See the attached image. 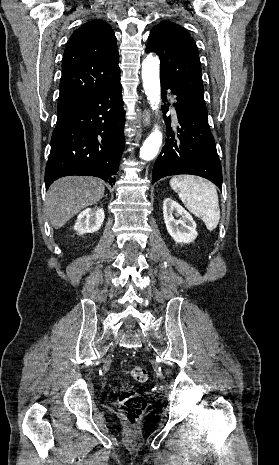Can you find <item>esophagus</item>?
Here are the masks:
<instances>
[{
    "label": "esophagus",
    "instance_id": "obj_1",
    "mask_svg": "<svg viewBox=\"0 0 279 465\" xmlns=\"http://www.w3.org/2000/svg\"><path fill=\"white\" fill-rule=\"evenodd\" d=\"M142 123L144 126H149L151 123V112L147 109L143 111L142 114Z\"/></svg>",
    "mask_w": 279,
    "mask_h": 465
}]
</instances>
